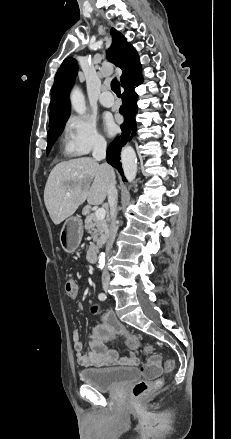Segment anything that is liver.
Here are the masks:
<instances>
[{"label":"liver","mask_w":231,"mask_h":439,"mask_svg":"<svg viewBox=\"0 0 231 439\" xmlns=\"http://www.w3.org/2000/svg\"><path fill=\"white\" fill-rule=\"evenodd\" d=\"M113 176L112 167L100 165L90 157L58 163L50 172L44 190V203L53 223L63 222L86 200L90 205L102 204Z\"/></svg>","instance_id":"1"}]
</instances>
